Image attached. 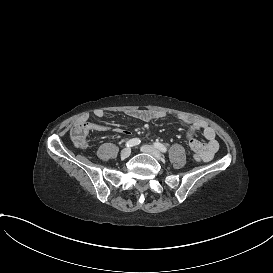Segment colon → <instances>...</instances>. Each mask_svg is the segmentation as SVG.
<instances>
[{"instance_id":"obj_1","label":"colon","mask_w":273,"mask_h":273,"mask_svg":"<svg viewBox=\"0 0 273 273\" xmlns=\"http://www.w3.org/2000/svg\"><path fill=\"white\" fill-rule=\"evenodd\" d=\"M71 139L79 148H84L88 144L87 136L91 135L93 132V128L91 125H89L88 122H86L84 119L79 118L71 125ZM188 147L193 150L200 153H203L206 151L207 146L205 143L201 141H197L194 138H191L187 142Z\"/></svg>"}]
</instances>
